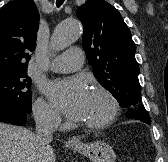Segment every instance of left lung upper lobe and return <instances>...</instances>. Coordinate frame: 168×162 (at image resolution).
<instances>
[{
    "instance_id": "left-lung-upper-lobe-1",
    "label": "left lung upper lobe",
    "mask_w": 168,
    "mask_h": 162,
    "mask_svg": "<svg viewBox=\"0 0 168 162\" xmlns=\"http://www.w3.org/2000/svg\"><path fill=\"white\" fill-rule=\"evenodd\" d=\"M84 33L83 49L99 83L121 107L142 104L136 46L121 14L104 0H89L77 10Z\"/></svg>"
}]
</instances>
